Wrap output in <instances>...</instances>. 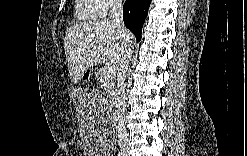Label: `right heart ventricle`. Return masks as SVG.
I'll return each instance as SVG.
<instances>
[{"mask_svg": "<svg viewBox=\"0 0 247 156\" xmlns=\"http://www.w3.org/2000/svg\"><path fill=\"white\" fill-rule=\"evenodd\" d=\"M97 1H78L75 7V16L82 21L95 20L102 16Z\"/></svg>", "mask_w": 247, "mask_h": 156, "instance_id": "e07e8e85", "label": "right heart ventricle"}]
</instances>
